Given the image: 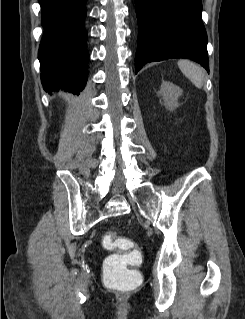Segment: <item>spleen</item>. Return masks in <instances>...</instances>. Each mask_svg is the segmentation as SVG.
I'll list each match as a JSON object with an SVG mask.
<instances>
[{
    "label": "spleen",
    "instance_id": "3e777b00",
    "mask_svg": "<svg viewBox=\"0 0 245 319\" xmlns=\"http://www.w3.org/2000/svg\"><path fill=\"white\" fill-rule=\"evenodd\" d=\"M178 67L197 88H202L204 84V70L202 67L186 59L179 60Z\"/></svg>",
    "mask_w": 245,
    "mask_h": 319
}]
</instances>
